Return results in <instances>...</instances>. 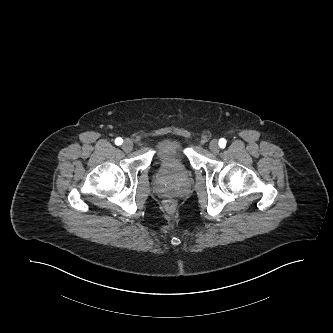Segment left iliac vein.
I'll return each mask as SVG.
<instances>
[{"label":"left iliac vein","mask_w":333,"mask_h":333,"mask_svg":"<svg viewBox=\"0 0 333 333\" xmlns=\"http://www.w3.org/2000/svg\"><path fill=\"white\" fill-rule=\"evenodd\" d=\"M209 148L213 154H218L220 150L218 141L213 139L209 144Z\"/></svg>","instance_id":"1"}]
</instances>
